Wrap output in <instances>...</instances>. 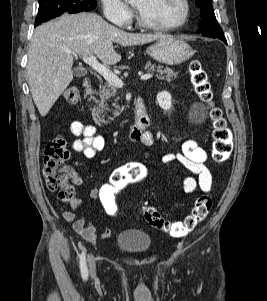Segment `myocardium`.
<instances>
[{
	"mask_svg": "<svg viewBox=\"0 0 267 301\" xmlns=\"http://www.w3.org/2000/svg\"><path fill=\"white\" fill-rule=\"evenodd\" d=\"M182 6H183V14L181 18L172 24H165V25H158L151 23L144 19L142 15L137 10V21L140 26L143 28L154 30V31H161V32H167V31H173L180 27H182L189 19L190 16V4L188 0H181Z\"/></svg>",
	"mask_w": 267,
	"mask_h": 301,
	"instance_id": "f54148a6",
	"label": "myocardium"
}]
</instances>
